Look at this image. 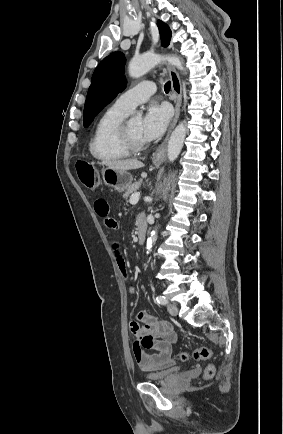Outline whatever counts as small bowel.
Wrapping results in <instances>:
<instances>
[{"mask_svg":"<svg viewBox=\"0 0 283 434\" xmlns=\"http://www.w3.org/2000/svg\"><path fill=\"white\" fill-rule=\"evenodd\" d=\"M94 210L97 215L105 219V223L109 228H117L116 221L109 217L110 204L106 199H96L94 201ZM139 220L144 219L140 217ZM117 260L120 269L125 272L124 260L120 256H118ZM139 321L143 325H140ZM130 332L134 339V358L141 369L158 371L174 365L175 360L172 358V349L178 337L168 322L160 321L152 314L140 312L137 315V321L131 322ZM149 348H156L158 352L148 354L144 349Z\"/></svg>","mask_w":283,"mask_h":434,"instance_id":"1","label":"small bowel"}]
</instances>
